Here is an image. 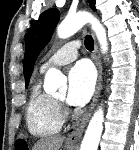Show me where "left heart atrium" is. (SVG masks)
I'll return each instance as SVG.
<instances>
[{
	"mask_svg": "<svg viewBox=\"0 0 139 150\" xmlns=\"http://www.w3.org/2000/svg\"><path fill=\"white\" fill-rule=\"evenodd\" d=\"M95 82L94 69L88 62L81 61L73 66L68 74V103L73 106L85 105L94 93Z\"/></svg>",
	"mask_w": 139,
	"mask_h": 150,
	"instance_id": "1",
	"label": "left heart atrium"
}]
</instances>
